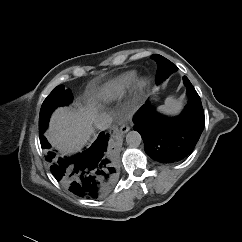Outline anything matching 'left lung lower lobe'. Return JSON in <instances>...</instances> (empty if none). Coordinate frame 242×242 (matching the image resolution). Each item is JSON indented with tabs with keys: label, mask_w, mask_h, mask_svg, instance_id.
<instances>
[{
	"label": "left lung lower lobe",
	"mask_w": 242,
	"mask_h": 242,
	"mask_svg": "<svg viewBox=\"0 0 242 242\" xmlns=\"http://www.w3.org/2000/svg\"><path fill=\"white\" fill-rule=\"evenodd\" d=\"M183 81L189 101L181 115L163 116L146 102L133 118V129L140 133L145 152L161 163H175L187 157L204 129L201 99L186 76Z\"/></svg>",
	"instance_id": "1"
}]
</instances>
